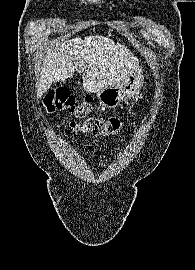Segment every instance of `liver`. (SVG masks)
<instances>
[{"mask_svg": "<svg viewBox=\"0 0 195 270\" xmlns=\"http://www.w3.org/2000/svg\"><path fill=\"white\" fill-rule=\"evenodd\" d=\"M138 68V58L120 43L100 35L74 38L48 49L43 60L37 97L53 82L82 73L83 87L89 93L124 82Z\"/></svg>", "mask_w": 195, "mask_h": 270, "instance_id": "6515ba94", "label": "liver"}]
</instances>
